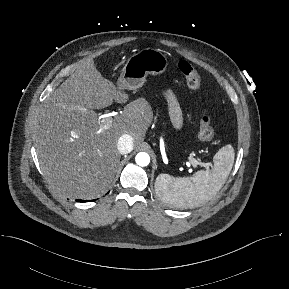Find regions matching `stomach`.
<instances>
[{"mask_svg": "<svg viewBox=\"0 0 289 289\" xmlns=\"http://www.w3.org/2000/svg\"><path fill=\"white\" fill-rule=\"evenodd\" d=\"M167 67V57L160 50L143 48L128 58L117 86L123 90H135L144 84L149 74L161 75Z\"/></svg>", "mask_w": 289, "mask_h": 289, "instance_id": "1", "label": "stomach"}]
</instances>
